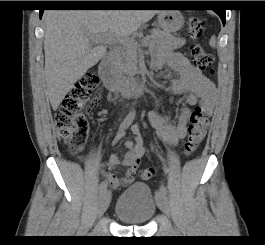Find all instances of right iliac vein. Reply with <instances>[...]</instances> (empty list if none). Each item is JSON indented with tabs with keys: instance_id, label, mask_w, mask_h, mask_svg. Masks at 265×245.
Segmentation results:
<instances>
[{
	"instance_id": "right-iliac-vein-1",
	"label": "right iliac vein",
	"mask_w": 265,
	"mask_h": 245,
	"mask_svg": "<svg viewBox=\"0 0 265 245\" xmlns=\"http://www.w3.org/2000/svg\"><path fill=\"white\" fill-rule=\"evenodd\" d=\"M111 199V193L108 190H105L99 197L98 206H97V215L102 216L107 210Z\"/></svg>"
}]
</instances>
